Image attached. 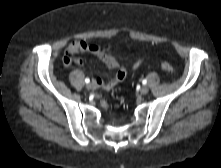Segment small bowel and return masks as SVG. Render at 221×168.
Instances as JSON below:
<instances>
[{
  "label": "small bowel",
  "mask_w": 221,
  "mask_h": 168,
  "mask_svg": "<svg viewBox=\"0 0 221 168\" xmlns=\"http://www.w3.org/2000/svg\"><path fill=\"white\" fill-rule=\"evenodd\" d=\"M79 52H90L96 55L110 70L116 71L115 76L110 80L96 78L95 83L104 90H109L121 82L126 76V70L120 66L117 57L111 52L109 47H101L95 44H88L83 40H75L71 42L63 58L65 65H71L73 62L82 65L84 60L81 58L75 59V54ZM141 61H137L133 68L140 65Z\"/></svg>",
  "instance_id": "1"
}]
</instances>
